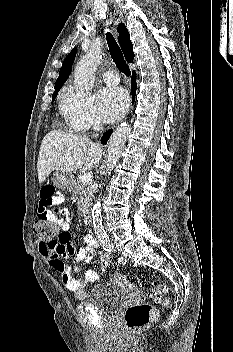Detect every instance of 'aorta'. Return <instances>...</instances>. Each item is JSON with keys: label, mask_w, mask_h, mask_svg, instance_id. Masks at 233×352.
<instances>
[{"label": "aorta", "mask_w": 233, "mask_h": 352, "mask_svg": "<svg viewBox=\"0 0 233 352\" xmlns=\"http://www.w3.org/2000/svg\"><path fill=\"white\" fill-rule=\"evenodd\" d=\"M100 51L91 50L84 55L75 67L74 87L77 94L88 95L92 91L95 81V72L100 63ZM131 132L128 123H122L112 133L107 145V173L109 174L121 156L126 140ZM101 201L98 199L92 207V221L95 234L102 243L108 241V236L102 225Z\"/></svg>", "instance_id": "aorta-1"}]
</instances>
